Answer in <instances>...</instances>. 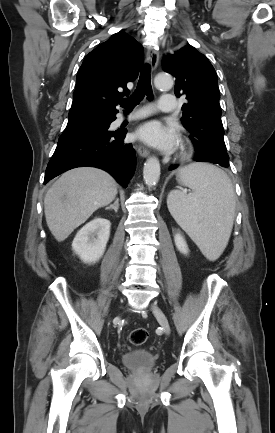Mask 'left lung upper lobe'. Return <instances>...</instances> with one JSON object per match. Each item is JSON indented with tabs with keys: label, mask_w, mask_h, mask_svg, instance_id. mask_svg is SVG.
Returning <instances> with one entry per match:
<instances>
[{
	"label": "left lung upper lobe",
	"mask_w": 275,
	"mask_h": 433,
	"mask_svg": "<svg viewBox=\"0 0 275 433\" xmlns=\"http://www.w3.org/2000/svg\"><path fill=\"white\" fill-rule=\"evenodd\" d=\"M163 68L176 78V96L188 100L181 120L197 152L195 161L228 164L217 74L207 57L187 45L164 58Z\"/></svg>",
	"instance_id": "1"
}]
</instances>
